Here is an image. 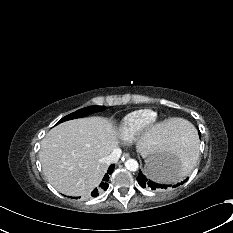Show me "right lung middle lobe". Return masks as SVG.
Returning a JSON list of instances; mask_svg holds the SVG:
<instances>
[{"label": "right lung middle lobe", "mask_w": 233, "mask_h": 233, "mask_svg": "<svg viewBox=\"0 0 233 233\" xmlns=\"http://www.w3.org/2000/svg\"><path fill=\"white\" fill-rule=\"evenodd\" d=\"M105 107L104 106H90V107H85V108H82L80 110H77L65 117H63L57 124L61 123V122H64V121H67V120H71V119H75V118H80V117H83V116H86V115H89V114H92V113H95V112H99V111H102L104 110Z\"/></svg>", "instance_id": "right-lung-middle-lobe-1"}]
</instances>
